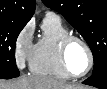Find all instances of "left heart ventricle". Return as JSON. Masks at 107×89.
<instances>
[{
	"label": "left heart ventricle",
	"mask_w": 107,
	"mask_h": 89,
	"mask_svg": "<svg viewBox=\"0 0 107 89\" xmlns=\"http://www.w3.org/2000/svg\"><path fill=\"white\" fill-rule=\"evenodd\" d=\"M67 64L73 74L83 73L89 64L85 47L78 41H73L67 51Z\"/></svg>",
	"instance_id": "left-heart-ventricle-1"
}]
</instances>
